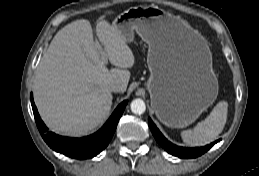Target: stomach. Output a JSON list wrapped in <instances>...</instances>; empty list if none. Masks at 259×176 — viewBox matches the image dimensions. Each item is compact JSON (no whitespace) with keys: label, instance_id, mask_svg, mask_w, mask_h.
<instances>
[{"label":"stomach","instance_id":"stomach-1","mask_svg":"<svg viewBox=\"0 0 259 176\" xmlns=\"http://www.w3.org/2000/svg\"><path fill=\"white\" fill-rule=\"evenodd\" d=\"M112 26L126 42L136 32L148 44L146 85L163 124L186 127L214 103L218 81L210 52L184 21L156 6H137L120 13Z\"/></svg>","mask_w":259,"mask_h":176}]
</instances>
